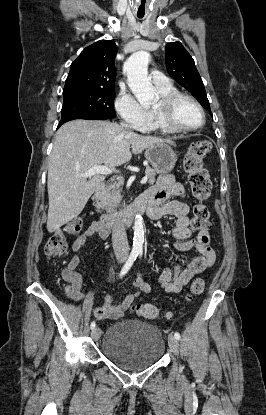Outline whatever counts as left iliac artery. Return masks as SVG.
<instances>
[{"label":"left iliac artery","mask_w":266,"mask_h":415,"mask_svg":"<svg viewBox=\"0 0 266 415\" xmlns=\"http://www.w3.org/2000/svg\"><path fill=\"white\" fill-rule=\"evenodd\" d=\"M139 254H140V256L142 255V252H139ZM174 337L177 339V340H180V338H181V336H180V334L178 333V332H175L174 333Z\"/></svg>","instance_id":"left-iliac-artery-1"}]
</instances>
